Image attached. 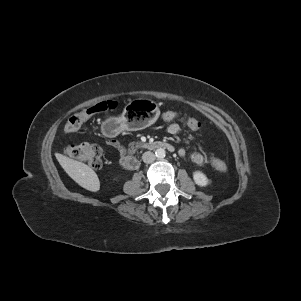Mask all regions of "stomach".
Returning a JSON list of instances; mask_svg holds the SVG:
<instances>
[{"mask_svg":"<svg viewBox=\"0 0 301 301\" xmlns=\"http://www.w3.org/2000/svg\"><path fill=\"white\" fill-rule=\"evenodd\" d=\"M157 103L149 99H136L129 102L119 117H112L104 123L108 136H116L122 131L142 130L158 118Z\"/></svg>","mask_w":301,"mask_h":301,"instance_id":"0dacf381","label":"stomach"}]
</instances>
